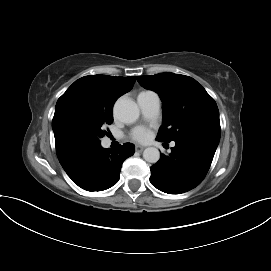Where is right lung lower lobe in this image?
Masks as SVG:
<instances>
[{
	"label": "right lung lower lobe",
	"instance_id": "1",
	"mask_svg": "<svg viewBox=\"0 0 271 271\" xmlns=\"http://www.w3.org/2000/svg\"><path fill=\"white\" fill-rule=\"evenodd\" d=\"M135 147L131 143L110 150L98 146L77 152L62 167L72 181L87 191H101L112 187L120 178L125 159L132 156Z\"/></svg>",
	"mask_w": 271,
	"mask_h": 271
}]
</instances>
